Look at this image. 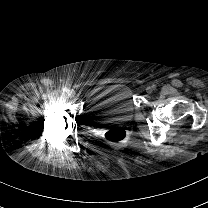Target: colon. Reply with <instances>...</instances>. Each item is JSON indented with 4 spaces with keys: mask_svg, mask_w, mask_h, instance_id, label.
I'll use <instances>...</instances> for the list:
<instances>
[{
    "mask_svg": "<svg viewBox=\"0 0 208 208\" xmlns=\"http://www.w3.org/2000/svg\"><path fill=\"white\" fill-rule=\"evenodd\" d=\"M126 136L127 133L123 128H114L105 133L104 139L109 144H118L123 142Z\"/></svg>",
    "mask_w": 208,
    "mask_h": 208,
    "instance_id": "1",
    "label": "colon"
}]
</instances>
